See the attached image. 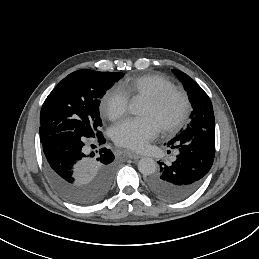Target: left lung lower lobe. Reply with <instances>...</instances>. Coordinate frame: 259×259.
I'll return each mask as SVG.
<instances>
[{"label":"left lung lower lobe","mask_w":259,"mask_h":259,"mask_svg":"<svg viewBox=\"0 0 259 259\" xmlns=\"http://www.w3.org/2000/svg\"><path fill=\"white\" fill-rule=\"evenodd\" d=\"M168 146L178 149L171 165L160 163V172L148 179V188L168 201H182L194 194L211 169L215 154V130L188 127Z\"/></svg>","instance_id":"obj_1"}]
</instances>
